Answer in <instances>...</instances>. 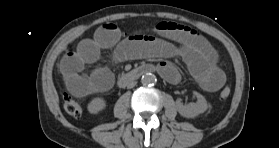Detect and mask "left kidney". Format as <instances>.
Returning a JSON list of instances; mask_svg holds the SVG:
<instances>
[{
    "mask_svg": "<svg viewBox=\"0 0 279 148\" xmlns=\"http://www.w3.org/2000/svg\"><path fill=\"white\" fill-rule=\"evenodd\" d=\"M194 94L197 97L196 103L191 102L183 105L180 99L176 101V109L181 116L194 118L208 109V103L205 97L198 92H194Z\"/></svg>",
    "mask_w": 279,
    "mask_h": 148,
    "instance_id": "1",
    "label": "left kidney"
}]
</instances>
